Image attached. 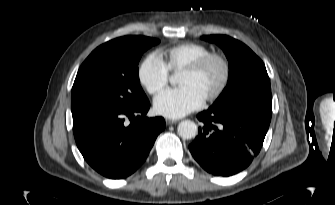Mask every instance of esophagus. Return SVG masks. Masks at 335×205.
<instances>
[{
  "instance_id": "esophagus-1",
  "label": "esophagus",
  "mask_w": 335,
  "mask_h": 205,
  "mask_svg": "<svg viewBox=\"0 0 335 205\" xmlns=\"http://www.w3.org/2000/svg\"><path fill=\"white\" fill-rule=\"evenodd\" d=\"M177 123V120H174V119H166V124L167 125H172V124H175Z\"/></svg>"
}]
</instances>
